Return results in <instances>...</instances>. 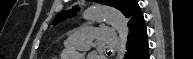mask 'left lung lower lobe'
<instances>
[{
  "mask_svg": "<svg viewBox=\"0 0 193 59\" xmlns=\"http://www.w3.org/2000/svg\"><path fill=\"white\" fill-rule=\"evenodd\" d=\"M128 26L129 38L125 59H149L147 30L141 11L131 16Z\"/></svg>",
  "mask_w": 193,
  "mask_h": 59,
  "instance_id": "1",
  "label": "left lung lower lobe"
}]
</instances>
